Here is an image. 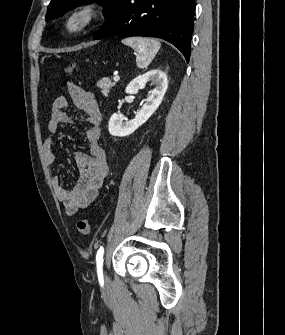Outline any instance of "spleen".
<instances>
[{"label":"spleen","mask_w":285,"mask_h":335,"mask_svg":"<svg viewBox=\"0 0 285 335\" xmlns=\"http://www.w3.org/2000/svg\"><path fill=\"white\" fill-rule=\"evenodd\" d=\"M122 44L130 46L135 52H138L136 56L137 68H147L161 46L154 38H125L122 40Z\"/></svg>","instance_id":"obj_1"}]
</instances>
